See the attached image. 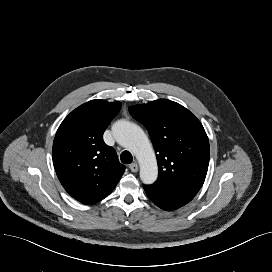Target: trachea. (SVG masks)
<instances>
[{
  "mask_svg": "<svg viewBox=\"0 0 272 272\" xmlns=\"http://www.w3.org/2000/svg\"><path fill=\"white\" fill-rule=\"evenodd\" d=\"M121 162L124 164H130L133 161V157L130 152L123 151L120 156Z\"/></svg>",
  "mask_w": 272,
  "mask_h": 272,
  "instance_id": "trachea-1",
  "label": "trachea"
}]
</instances>
